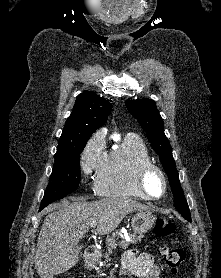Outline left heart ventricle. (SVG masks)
I'll list each match as a JSON object with an SVG mask.
<instances>
[{"instance_id": "obj_1", "label": "left heart ventricle", "mask_w": 221, "mask_h": 278, "mask_svg": "<svg viewBox=\"0 0 221 278\" xmlns=\"http://www.w3.org/2000/svg\"><path fill=\"white\" fill-rule=\"evenodd\" d=\"M149 190L153 195L160 194L162 190L160 179L157 175H151L148 180Z\"/></svg>"}]
</instances>
